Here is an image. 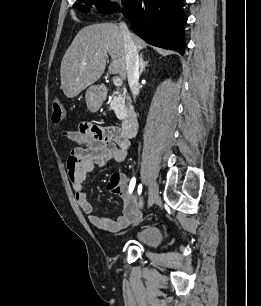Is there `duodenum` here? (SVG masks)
Here are the masks:
<instances>
[{"mask_svg":"<svg viewBox=\"0 0 261 306\" xmlns=\"http://www.w3.org/2000/svg\"><path fill=\"white\" fill-rule=\"evenodd\" d=\"M99 92L101 95L104 96L106 94V87L100 86ZM137 129H138V115L135 111L130 110L126 113V115L122 120L121 132L125 137L130 138L136 134Z\"/></svg>","mask_w":261,"mask_h":306,"instance_id":"obj_1","label":"duodenum"}]
</instances>
